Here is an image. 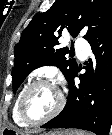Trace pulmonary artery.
Returning a JSON list of instances; mask_svg holds the SVG:
<instances>
[{
    "instance_id": "pulmonary-artery-1",
    "label": "pulmonary artery",
    "mask_w": 112,
    "mask_h": 135,
    "mask_svg": "<svg viewBox=\"0 0 112 135\" xmlns=\"http://www.w3.org/2000/svg\"><path fill=\"white\" fill-rule=\"evenodd\" d=\"M76 51H77L79 58L85 59L90 52V46H89L88 42L83 39L77 40Z\"/></svg>"
}]
</instances>
